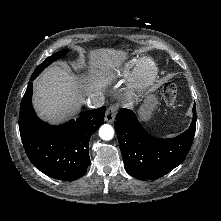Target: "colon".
I'll use <instances>...</instances> for the list:
<instances>
[{
    "mask_svg": "<svg viewBox=\"0 0 221 221\" xmlns=\"http://www.w3.org/2000/svg\"><path fill=\"white\" fill-rule=\"evenodd\" d=\"M177 92L178 90H177V86L175 83L168 82L165 84L164 89H163V96H164V101L169 108H172L175 106Z\"/></svg>",
    "mask_w": 221,
    "mask_h": 221,
    "instance_id": "colon-1",
    "label": "colon"
}]
</instances>
